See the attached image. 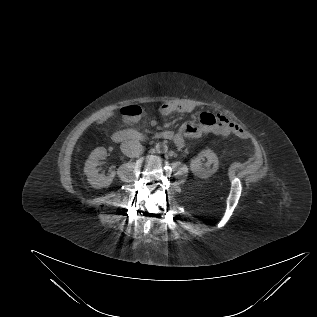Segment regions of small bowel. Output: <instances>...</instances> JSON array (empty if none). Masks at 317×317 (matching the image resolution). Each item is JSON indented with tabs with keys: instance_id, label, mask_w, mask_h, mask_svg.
<instances>
[{
	"instance_id": "obj_1",
	"label": "small bowel",
	"mask_w": 317,
	"mask_h": 317,
	"mask_svg": "<svg viewBox=\"0 0 317 317\" xmlns=\"http://www.w3.org/2000/svg\"><path fill=\"white\" fill-rule=\"evenodd\" d=\"M194 110V105L188 101L172 100L165 101L160 105V112L163 115H169L175 112L189 113ZM219 121L215 125H206L202 122H187L175 135V143L180 146H185V138H197L205 132L216 133L220 135H228L230 133H238L243 136L244 132L241 127L233 120L224 114H220Z\"/></svg>"
}]
</instances>
